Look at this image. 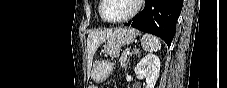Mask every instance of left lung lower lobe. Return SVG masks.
Wrapping results in <instances>:
<instances>
[{"mask_svg":"<svg viewBox=\"0 0 227 88\" xmlns=\"http://www.w3.org/2000/svg\"><path fill=\"white\" fill-rule=\"evenodd\" d=\"M144 10L125 25L151 33L171 45L176 23L182 9V0H145Z\"/></svg>","mask_w":227,"mask_h":88,"instance_id":"obj_1","label":"left lung lower lobe"}]
</instances>
